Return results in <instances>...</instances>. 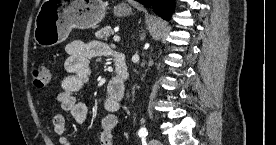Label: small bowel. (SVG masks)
Instances as JSON below:
<instances>
[{
    "label": "small bowel",
    "mask_w": 276,
    "mask_h": 145,
    "mask_svg": "<svg viewBox=\"0 0 276 145\" xmlns=\"http://www.w3.org/2000/svg\"><path fill=\"white\" fill-rule=\"evenodd\" d=\"M68 57L65 61V69L69 73L62 82V89L57 94L56 100L65 111H69L71 117L77 124H83L88 115L87 105L76 98L78 93L87 82L90 75V61L93 58L107 56L111 53L108 46L100 41H73L66 47ZM124 92L118 91L112 86V80L107 86V96L104 107L107 115L101 123L100 145H114L113 132L118 124L116 112L120 108ZM53 128L59 137L60 145H71L66 135L65 118L57 113L53 116Z\"/></svg>",
    "instance_id": "1"
}]
</instances>
